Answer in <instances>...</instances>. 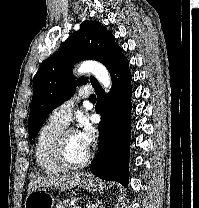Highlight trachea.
<instances>
[{"label": "trachea", "instance_id": "trachea-1", "mask_svg": "<svg viewBox=\"0 0 199 208\" xmlns=\"http://www.w3.org/2000/svg\"><path fill=\"white\" fill-rule=\"evenodd\" d=\"M90 99V101H96V95H91V97L89 98Z\"/></svg>", "mask_w": 199, "mask_h": 208}]
</instances>
